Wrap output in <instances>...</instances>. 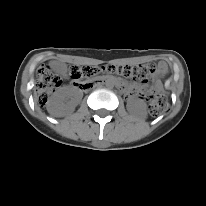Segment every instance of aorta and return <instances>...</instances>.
Returning a JSON list of instances; mask_svg holds the SVG:
<instances>
[{
	"label": "aorta",
	"instance_id": "1",
	"mask_svg": "<svg viewBox=\"0 0 206 206\" xmlns=\"http://www.w3.org/2000/svg\"><path fill=\"white\" fill-rule=\"evenodd\" d=\"M105 84L108 88H113L114 87V82L111 78H107Z\"/></svg>",
	"mask_w": 206,
	"mask_h": 206
}]
</instances>
